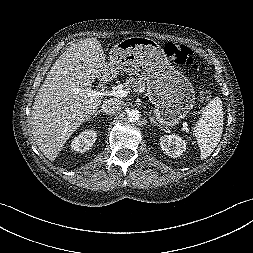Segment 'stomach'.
I'll return each mask as SVG.
<instances>
[{
    "mask_svg": "<svg viewBox=\"0 0 253 253\" xmlns=\"http://www.w3.org/2000/svg\"><path fill=\"white\" fill-rule=\"evenodd\" d=\"M110 60L113 72L120 69L146 81L160 125L178 124L193 108L195 92L191 82L171 65L153 39L135 36L122 40L113 47Z\"/></svg>",
    "mask_w": 253,
    "mask_h": 253,
    "instance_id": "0dacf381",
    "label": "stomach"
}]
</instances>
